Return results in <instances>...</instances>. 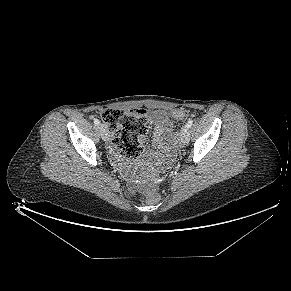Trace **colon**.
Here are the masks:
<instances>
[{
  "label": "colon",
  "mask_w": 291,
  "mask_h": 291,
  "mask_svg": "<svg viewBox=\"0 0 291 291\" xmlns=\"http://www.w3.org/2000/svg\"><path fill=\"white\" fill-rule=\"evenodd\" d=\"M146 110L137 109L121 111L108 109L102 114V120L108 127L113 137V143L121 154L129 159H137L143 151L140 135L147 130ZM169 117L175 120H183L186 112L175 109L169 113ZM146 199L149 203L159 200V193L155 187L146 190Z\"/></svg>",
  "instance_id": "1"
}]
</instances>
